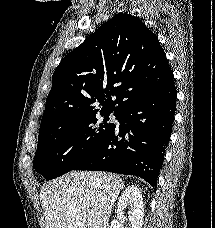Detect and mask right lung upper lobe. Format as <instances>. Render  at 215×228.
Returning a JSON list of instances; mask_svg holds the SVG:
<instances>
[{
    "mask_svg": "<svg viewBox=\"0 0 215 228\" xmlns=\"http://www.w3.org/2000/svg\"><path fill=\"white\" fill-rule=\"evenodd\" d=\"M171 76L156 35L139 18L117 14L62 59L52 77L40 129L99 111L117 113L140 88Z\"/></svg>",
    "mask_w": 215,
    "mask_h": 228,
    "instance_id": "obj_1",
    "label": "right lung upper lobe"
}]
</instances>
